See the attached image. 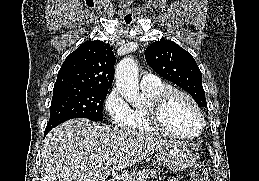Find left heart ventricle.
I'll use <instances>...</instances> for the list:
<instances>
[{"mask_svg":"<svg viewBox=\"0 0 259 181\" xmlns=\"http://www.w3.org/2000/svg\"><path fill=\"white\" fill-rule=\"evenodd\" d=\"M164 119L169 128L181 134H195L200 127V119L194 107L179 96L169 102Z\"/></svg>","mask_w":259,"mask_h":181,"instance_id":"obj_1","label":"left heart ventricle"}]
</instances>
